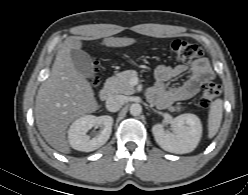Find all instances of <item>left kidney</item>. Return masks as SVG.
Here are the masks:
<instances>
[{
  "instance_id": "obj_1",
  "label": "left kidney",
  "mask_w": 248,
  "mask_h": 195,
  "mask_svg": "<svg viewBox=\"0 0 248 195\" xmlns=\"http://www.w3.org/2000/svg\"><path fill=\"white\" fill-rule=\"evenodd\" d=\"M173 132L165 131L162 124H155L152 132L157 144L164 150L184 154L192 152L198 145L202 125L200 119L194 114L177 116L172 123Z\"/></svg>"
}]
</instances>
